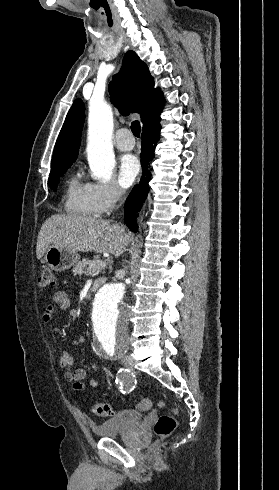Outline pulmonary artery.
<instances>
[{
  "label": "pulmonary artery",
  "mask_w": 279,
  "mask_h": 490,
  "mask_svg": "<svg viewBox=\"0 0 279 490\" xmlns=\"http://www.w3.org/2000/svg\"><path fill=\"white\" fill-rule=\"evenodd\" d=\"M130 131L128 128H117L116 135L114 138V145L121 151H130L134 146L137 145L136 137H128Z\"/></svg>",
  "instance_id": "pulmonary-artery-1"
}]
</instances>
